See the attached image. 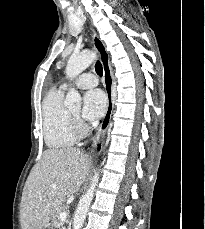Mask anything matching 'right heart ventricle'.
Instances as JSON below:
<instances>
[{
  "label": "right heart ventricle",
  "instance_id": "1",
  "mask_svg": "<svg viewBox=\"0 0 205 229\" xmlns=\"http://www.w3.org/2000/svg\"><path fill=\"white\" fill-rule=\"evenodd\" d=\"M64 90L49 91L42 103L43 136L51 149H62L73 145L77 136L73 130L70 111L65 107Z\"/></svg>",
  "mask_w": 205,
  "mask_h": 229
}]
</instances>
